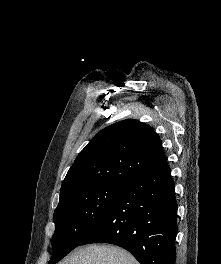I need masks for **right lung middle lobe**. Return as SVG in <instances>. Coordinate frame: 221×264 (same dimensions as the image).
Listing matches in <instances>:
<instances>
[{
    "instance_id": "1",
    "label": "right lung middle lobe",
    "mask_w": 221,
    "mask_h": 264,
    "mask_svg": "<svg viewBox=\"0 0 221 264\" xmlns=\"http://www.w3.org/2000/svg\"><path fill=\"white\" fill-rule=\"evenodd\" d=\"M126 183H104L78 191L59 202L54 212L53 254L55 264L81 244L101 223L124 191Z\"/></svg>"
}]
</instances>
